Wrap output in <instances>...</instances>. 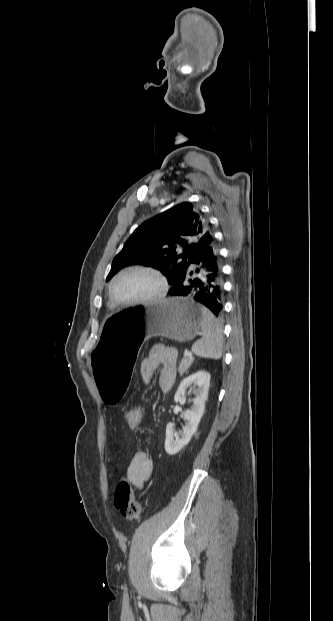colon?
Here are the masks:
<instances>
[{
    "label": "colon",
    "instance_id": "5ec220e1",
    "mask_svg": "<svg viewBox=\"0 0 333 621\" xmlns=\"http://www.w3.org/2000/svg\"><path fill=\"white\" fill-rule=\"evenodd\" d=\"M143 412L140 408H130L124 413L128 427L136 428L142 421ZM114 504L121 515L128 520H136L140 516V505L134 497L133 489L127 480H121L116 486Z\"/></svg>",
    "mask_w": 333,
    "mask_h": 621
}]
</instances>
